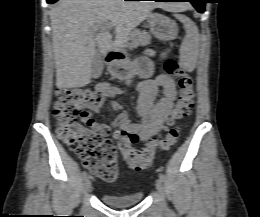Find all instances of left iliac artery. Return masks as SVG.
Here are the masks:
<instances>
[{"instance_id": "44dca946", "label": "left iliac artery", "mask_w": 260, "mask_h": 217, "mask_svg": "<svg viewBox=\"0 0 260 217\" xmlns=\"http://www.w3.org/2000/svg\"><path fill=\"white\" fill-rule=\"evenodd\" d=\"M159 178H160V180H161L162 182L165 181V176H164V174H163L162 172H160Z\"/></svg>"}]
</instances>
